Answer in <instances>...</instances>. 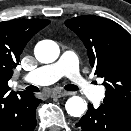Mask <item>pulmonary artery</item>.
<instances>
[{
  "mask_svg": "<svg viewBox=\"0 0 131 131\" xmlns=\"http://www.w3.org/2000/svg\"><path fill=\"white\" fill-rule=\"evenodd\" d=\"M63 76L68 77L78 90L91 100H99L104 94V87L93 85L80 74L77 55L71 50L63 52L57 62L29 72L25 80L37 85H47Z\"/></svg>",
  "mask_w": 131,
  "mask_h": 131,
  "instance_id": "obj_1",
  "label": "pulmonary artery"
}]
</instances>
